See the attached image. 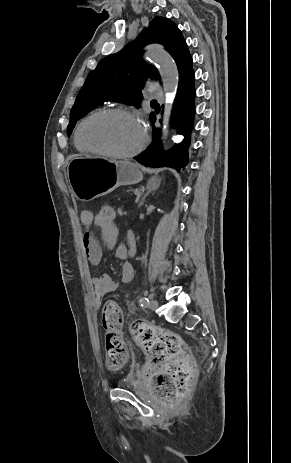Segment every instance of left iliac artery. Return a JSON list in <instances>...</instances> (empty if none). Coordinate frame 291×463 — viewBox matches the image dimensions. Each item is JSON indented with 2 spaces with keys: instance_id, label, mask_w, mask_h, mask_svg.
<instances>
[{
  "instance_id": "obj_1",
  "label": "left iliac artery",
  "mask_w": 291,
  "mask_h": 463,
  "mask_svg": "<svg viewBox=\"0 0 291 463\" xmlns=\"http://www.w3.org/2000/svg\"><path fill=\"white\" fill-rule=\"evenodd\" d=\"M148 304H149V299H148L147 297H142V298L140 299V305H141L142 307H147Z\"/></svg>"
}]
</instances>
